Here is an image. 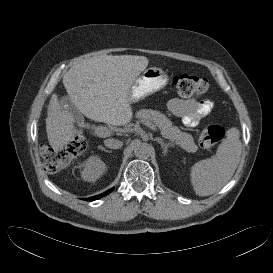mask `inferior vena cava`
<instances>
[{"label": "inferior vena cava", "mask_w": 273, "mask_h": 273, "mask_svg": "<svg viewBox=\"0 0 273 273\" xmlns=\"http://www.w3.org/2000/svg\"><path fill=\"white\" fill-rule=\"evenodd\" d=\"M104 145L111 149H119L122 147L123 142L117 139H106Z\"/></svg>", "instance_id": "602c4592"}]
</instances>
